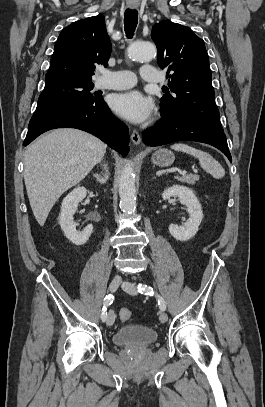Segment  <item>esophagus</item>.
Instances as JSON below:
<instances>
[{
    "label": "esophagus",
    "instance_id": "obj_1",
    "mask_svg": "<svg viewBox=\"0 0 265 407\" xmlns=\"http://www.w3.org/2000/svg\"><path fill=\"white\" fill-rule=\"evenodd\" d=\"M132 9H134L135 7H131ZM131 140L133 142V144L135 145H139L141 142V136L139 134V132L137 130H134L131 134Z\"/></svg>",
    "mask_w": 265,
    "mask_h": 407
}]
</instances>
